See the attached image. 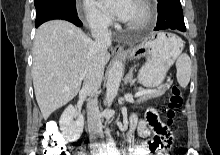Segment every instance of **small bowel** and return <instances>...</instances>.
I'll return each instance as SVG.
<instances>
[{
    "mask_svg": "<svg viewBox=\"0 0 220 155\" xmlns=\"http://www.w3.org/2000/svg\"><path fill=\"white\" fill-rule=\"evenodd\" d=\"M155 124L164 125L160 121L158 114L154 110H150L144 120H137L136 117L131 118L130 133L134 129H137L140 137L147 138L151 134V130L155 133ZM146 146L148 147V141L146 142Z\"/></svg>",
    "mask_w": 220,
    "mask_h": 155,
    "instance_id": "1",
    "label": "small bowel"
}]
</instances>
